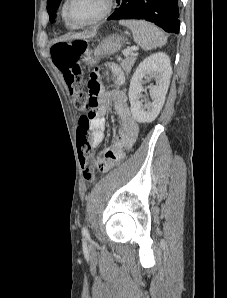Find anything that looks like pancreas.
<instances>
[{"mask_svg":"<svg viewBox=\"0 0 227 298\" xmlns=\"http://www.w3.org/2000/svg\"><path fill=\"white\" fill-rule=\"evenodd\" d=\"M136 61L135 56L128 57L121 62V66L126 73H129Z\"/></svg>","mask_w":227,"mask_h":298,"instance_id":"obj_1","label":"pancreas"}]
</instances>
